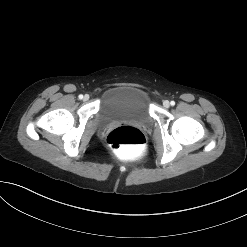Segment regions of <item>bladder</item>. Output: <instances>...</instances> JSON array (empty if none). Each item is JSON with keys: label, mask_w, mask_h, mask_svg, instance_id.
<instances>
[{"label": "bladder", "mask_w": 247, "mask_h": 247, "mask_svg": "<svg viewBox=\"0 0 247 247\" xmlns=\"http://www.w3.org/2000/svg\"><path fill=\"white\" fill-rule=\"evenodd\" d=\"M150 120L147 92L127 85L107 89L101 96L95 115V124L99 128L119 121L147 124Z\"/></svg>", "instance_id": "1"}]
</instances>
